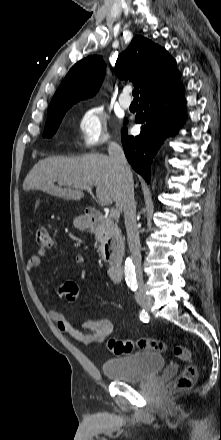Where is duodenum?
<instances>
[{"label": "duodenum", "instance_id": "obj_1", "mask_svg": "<svg viewBox=\"0 0 221 440\" xmlns=\"http://www.w3.org/2000/svg\"><path fill=\"white\" fill-rule=\"evenodd\" d=\"M86 218L88 220L90 228H92V229L100 228L103 225V223L105 222L103 215L99 212L94 211V210L88 211L86 213ZM107 259L109 261H112L111 258H109L108 256H107ZM123 274H124V270L120 264L113 262L110 265V267L108 269V275L112 281H115V282L121 281L123 278Z\"/></svg>", "mask_w": 221, "mask_h": 440}]
</instances>
